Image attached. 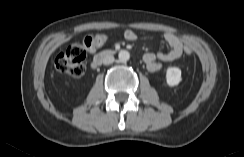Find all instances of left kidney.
<instances>
[{"label":"left kidney","instance_id":"1","mask_svg":"<svg viewBox=\"0 0 244 157\" xmlns=\"http://www.w3.org/2000/svg\"><path fill=\"white\" fill-rule=\"evenodd\" d=\"M182 81L181 69L178 67H168L166 71V82L169 86H177Z\"/></svg>","mask_w":244,"mask_h":157}]
</instances>
